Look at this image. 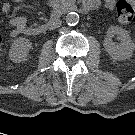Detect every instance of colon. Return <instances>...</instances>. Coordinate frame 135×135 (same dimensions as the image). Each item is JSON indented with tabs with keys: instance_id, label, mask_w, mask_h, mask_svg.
<instances>
[{
	"instance_id": "obj_1",
	"label": "colon",
	"mask_w": 135,
	"mask_h": 135,
	"mask_svg": "<svg viewBox=\"0 0 135 135\" xmlns=\"http://www.w3.org/2000/svg\"><path fill=\"white\" fill-rule=\"evenodd\" d=\"M117 17L123 24L135 23V9L126 0H119L116 4ZM2 50V39L0 37V53Z\"/></svg>"
}]
</instances>
